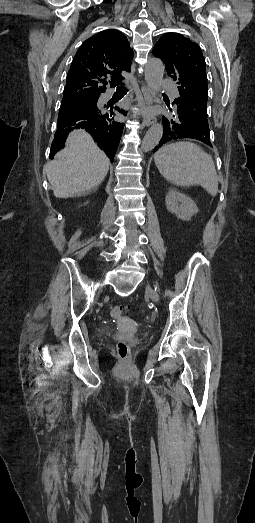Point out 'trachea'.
<instances>
[{
  "mask_svg": "<svg viewBox=\"0 0 255 523\" xmlns=\"http://www.w3.org/2000/svg\"><path fill=\"white\" fill-rule=\"evenodd\" d=\"M117 91H127V88L122 84L121 86L117 87Z\"/></svg>",
  "mask_w": 255,
  "mask_h": 523,
  "instance_id": "trachea-1",
  "label": "trachea"
}]
</instances>
